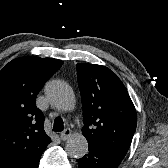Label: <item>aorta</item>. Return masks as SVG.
Masks as SVG:
<instances>
[{"mask_svg": "<svg viewBox=\"0 0 168 168\" xmlns=\"http://www.w3.org/2000/svg\"><path fill=\"white\" fill-rule=\"evenodd\" d=\"M45 94L50 104L63 111L73 110L76 99L72 88L64 81L53 80L46 84ZM66 150L71 157L82 158L88 152L87 139L82 134H73L66 141Z\"/></svg>", "mask_w": 168, "mask_h": 168, "instance_id": "aorta-1", "label": "aorta"}]
</instances>
